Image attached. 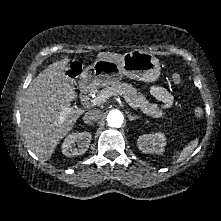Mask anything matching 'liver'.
Instances as JSON below:
<instances>
[{"instance_id":"liver-1","label":"liver","mask_w":221,"mask_h":221,"mask_svg":"<svg viewBox=\"0 0 221 221\" xmlns=\"http://www.w3.org/2000/svg\"><path fill=\"white\" fill-rule=\"evenodd\" d=\"M121 54L100 52L98 59L118 60ZM69 59L50 64L30 83L23 99L21 130L28 148L41 160H48L57 144L72 130L84 110L73 108L62 114L77 95L65 75ZM63 117V121L60 118Z\"/></svg>"}]
</instances>
